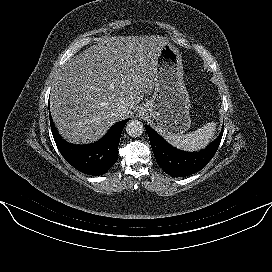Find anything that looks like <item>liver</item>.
<instances>
[{"mask_svg": "<svg viewBox=\"0 0 272 272\" xmlns=\"http://www.w3.org/2000/svg\"><path fill=\"white\" fill-rule=\"evenodd\" d=\"M162 36L101 38L71 58L54 83L50 109L63 138L92 143L127 116L155 87ZM125 104L124 114L116 112Z\"/></svg>", "mask_w": 272, "mask_h": 272, "instance_id": "1", "label": "liver"}]
</instances>
